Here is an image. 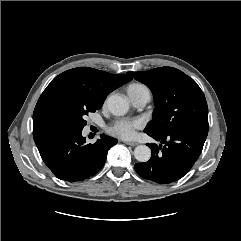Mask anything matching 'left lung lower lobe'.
Returning a JSON list of instances; mask_svg holds the SVG:
<instances>
[{
    "instance_id": "obj_1",
    "label": "left lung lower lobe",
    "mask_w": 241,
    "mask_h": 241,
    "mask_svg": "<svg viewBox=\"0 0 241 241\" xmlns=\"http://www.w3.org/2000/svg\"><path fill=\"white\" fill-rule=\"evenodd\" d=\"M162 145L148 144L152 150L149 161L135 164L144 179L169 184L185 176L200 156L208 134V126L196 125L169 134L147 133Z\"/></svg>"
}]
</instances>
